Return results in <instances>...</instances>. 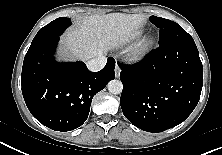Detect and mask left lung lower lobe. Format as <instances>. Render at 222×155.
I'll use <instances>...</instances> for the list:
<instances>
[{"mask_svg": "<svg viewBox=\"0 0 222 155\" xmlns=\"http://www.w3.org/2000/svg\"><path fill=\"white\" fill-rule=\"evenodd\" d=\"M119 66L123 114L144 131L182 123L200 99L203 67L195 42L159 45L140 63Z\"/></svg>", "mask_w": 222, "mask_h": 155, "instance_id": "obj_1", "label": "left lung lower lobe"}]
</instances>
